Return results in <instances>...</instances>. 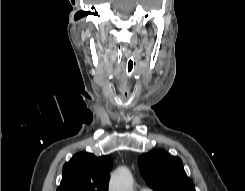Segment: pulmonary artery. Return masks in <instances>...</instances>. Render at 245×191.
I'll list each match as a JSON object with an SVG mask.
<instances>
[{"mask_svg":"<svg viewBox=\"0 0 245 191\" xmlns=\"http://www.w3.org/2000/svg\"><path fill=\"white\" fill-rule=\"evenodd\" d=\"M140 191H152L150 188H141Z\"/></svg>","mask_w":245,"mask_h":191,"instance_id":"obj_1","label":"pulmonary artery"}]
</instances>
